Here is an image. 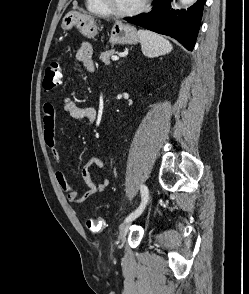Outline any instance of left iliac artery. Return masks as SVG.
Masks as SVG:
<instances>
[{
  "mask_svg": "<svg viewBox=\"0 0 249 294\" xmlns=\"http://www.w3.org/2000/svg\"><path fill=\"white\" fill-rule=\"evenodd\" d=\"M140 191H141V197H142L141 204L134 212H132L130 215L126 217L125 219L126 222L132 221L136 219L137 217H139L146 207V204L148 202V196H149L148 188L145 185H141Z\"/></svg>",
  "mask_w": 249,
  "mask_h": 294,
  "instance_id": "1",
  "label": "left iliac artery"
}]
</instances>
